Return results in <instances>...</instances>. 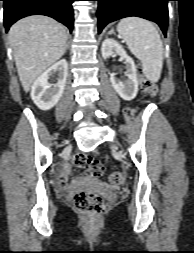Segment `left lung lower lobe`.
Here are the masks:
<instances>
[{"instance_id": "obj_1", "label": "left lung lower lobe", "mask_w": 194, "mask_h": 253, "mask_svg": "<svg viewBox=\"0 0 194 253\" xmlns=\"http://www.w3.org/2000/svg\"><path fill=\"white\" fill-rule=\"evenodd\" d=\"M98 1V32L110 22L137 16L156 22L166 37L168 25L167 2L170 0H96Z\"/></svg>"}]
</instances>
